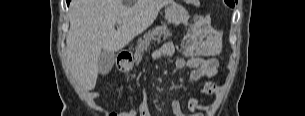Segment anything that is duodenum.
Wrapping results in <instances>:
<instances>
[{"mask_svg": "<svg viewBox=\"0 0 305 116\" xmlns=\"http://www.w3.org/2000/svg\"><path fill=\"white\" fill-rule=\"evenodd\" d=\"M131 53L129 51H120L117 56V62L119 66L123 69L126 65L131 60Z\"/></svg>", "mask_w": 305, "mask_h": 116, "instance_id": "duodenum-1", "label": "duodenum"}]
</instances>
